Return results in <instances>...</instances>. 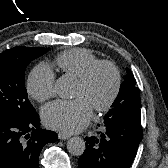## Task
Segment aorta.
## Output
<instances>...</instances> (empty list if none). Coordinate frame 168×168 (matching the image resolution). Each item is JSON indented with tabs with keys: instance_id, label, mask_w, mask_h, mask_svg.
I'll return each instance as SVG.
<instances>
[{
	"instance_id": "762f6f07",
	"label": "aorta",
	"mask_w": 168,
	"mask_h": 168,
	"mask_svg": "<svg viewBox=\"0 0 168 168\" xmlns=\"http://www.w3.org/2000/svg\"><path fill=\"white\" fill-rule=\"evenodd\" d=\"M55 89L60 97L68 98L72 96L75 89V81L67 76L57 79ZM86 149L85 141L80 137H72L67 141V150L74 156H81Z\"/></svg>"
}]
</instances>
